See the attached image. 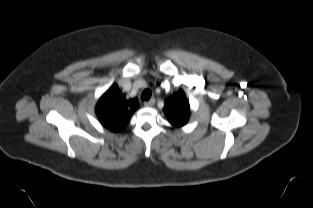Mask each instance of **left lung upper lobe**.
Instances as JSON below:
<instances>
[{"mask_svg": "<svg viewBox=\"0 0 313 208\" xmlns=\"http://www.w3.org/2000/svg\"><path fill=\"white\" fill-rule=\"evenodd\" d=\"M189 108V102L184 92L180 90L166 99L163 111L173 126L182 127L188 122Z\"/></svg>", "mask_w": 313, "mask_h": 208, "instance_id": "obj_1", "label": "left lung upper lobe"}]
</instances>
